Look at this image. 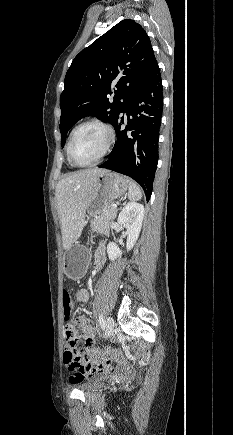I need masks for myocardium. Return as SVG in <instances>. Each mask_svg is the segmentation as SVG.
<instances>
[{
	"mask_svg": "<svg viewBox=\"0 0 233 435\" xmlns=\"http://www.w3.org/2000/svg\"><path fill=\"white\" fill-rule=\"evenodd\" d=\"M88 125H96V126L101 127L106 132L107 140H106V143H105V146H104L103 150L101 151V153L98 155V157L94 161L89 162V163H85V164H80V163L76 162L75 159L73 158V155H72V143H73V139H74V136L76 135V133L82 127H85V126H88ZM114 137H115V134H114V131H113L112 127L108 123H106L105 121L100 120V119H87V120H84V121L78 123L74 127V129L72 130V132L70 134L69 141H68V144H67V157H68L69 161L71 162V164L73 166H75V167L87 168V167L95 166L98 163H100L102 161V159L108 154V152H109V150L111 148V145H112V143L114 141Z\"/></svg>",
	"mask_w": 233,
	"mask_h": 435,
	"instance_id": "myocardium-1",
	"label": "myocardium"
}]
</instances>
